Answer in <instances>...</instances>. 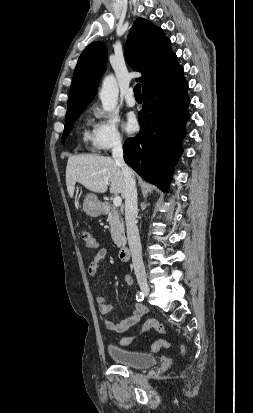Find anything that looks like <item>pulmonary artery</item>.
<instances>
[{
  "label": "pulmonary artery",
  "mask_w": 253,
  "mask_h": 413,
  "mask_svg": "<svg viewBox=\"0 0 253 413\" xmlns=\"http://www.w3.org/2000/svg\"><path fill=\"white\" fill-rule=\"evenodd\" d=\"M125 101L127 106L129 107H134L136 105V100L134 98V92L132 88L127 90V93L125 95Z\"/></svg>",
  "instance_id": "1"
}]
</instances>
